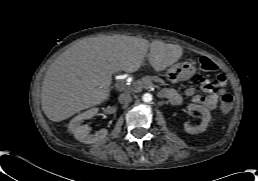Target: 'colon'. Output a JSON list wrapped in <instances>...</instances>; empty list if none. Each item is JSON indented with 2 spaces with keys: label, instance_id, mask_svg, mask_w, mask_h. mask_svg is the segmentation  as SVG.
<instances>
[{
  "label": "colon",
  "instance_id": "1",
  "mask_svg": "<svg viewBox=\"0 0 258 181\" xmlns=\"http://www.w3.org/2000/svg\"><path fill=\"white\" fill-rule=\"evenodd\" d=\"M232 102V98L229 94L224 95V107L229 108Z\"/></svg>",
  "mask_w": 258,
  "mask_h": 181
}]
</instances>
